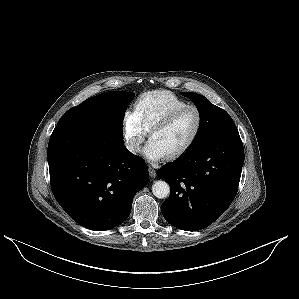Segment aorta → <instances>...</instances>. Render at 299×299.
<instances>
[{
    "label": "aorta",
    "instance_id": "obj_1",
    "mask_svg": "<svg viewBox=\"0 0 299 299\" xmlns=\"http://www.w3.org/2000/svg\"><path fill=\"white\" fill-rule=\"evenodd\" d=\"M152 192L159 199L166 198L170 194V186L163 180H158L152 185Z\"/></svg>",
    "mask_w": 299,
    "mask_h": 299
}]
</instances>
